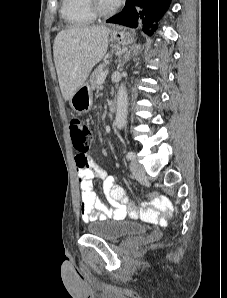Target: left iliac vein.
<instances>
[{
    "mask_svg": "<svg viewBox=\"0 0 227 298\" xmlns=\"http://www.w3.org/2000/svg\"><path fill=\"white\" fill-rule=\"evenodd\" d=\"M130 168L135 177H141L145 174L143 166L140 165L136 160L131 162Z\"/></svg>",
    "mask_w": 227,
    "mask_h": 298,
    "instance_id": "left-iliac-vein-1",
    "label": "left iliac vein"
}]
</instances>
